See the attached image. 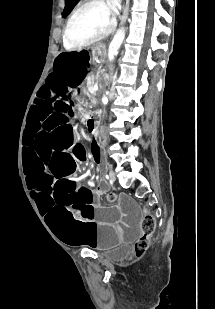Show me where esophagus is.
<instances>
[{
	"mask_svg": "<svg viewBox=\"0 0 215 309\" xmlns=\"http://www.w3.org/2000/svg\"><path fill=\"white\" fill-rule=\"evenodd\" d=\"M129 3H130V0H124V3H123V13H122V20H121V23L123 24L126 19H127V15H128V9H129Z\"/></svg>",
	"mask_w": 215,
	"mask_h": 309,
	"instance_id": "obj_1",
	"label": "esophagus"
}]
</instances>
